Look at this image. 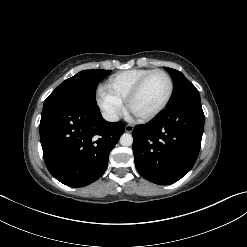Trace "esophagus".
<instances>
[{
  "instance_id": "obj_1",
  "label": "esophagus",
  "mask_w": 247,
  "mask_h": 247,
  "mask_svg": "<svg viewBox=\"0 0 247 247\" xmlns=\"http://www.w3.org/2000/svg\"><path fill=\"white\" fill-rule=\"evenodd\" d=\"M124 129L126 132L130 133L133 131L134 127L130 124H127Z\"/></svg>"
}]
</instances>
